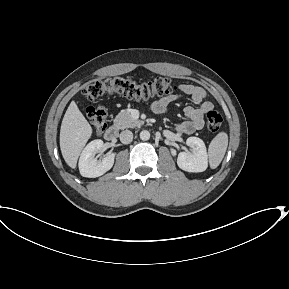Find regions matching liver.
<instances>
[{
	"label": "liver",
	"mask_w": 289,
	"mask_h": 289,
	"mask_svg": "<svg viewBox=\"0 0 289 289\" xmlns=\"http://www.w3.org/2000/svg\"><path fill=\"white\" fill-rule=\"evenodd\" d=\"M92 135V128L72 101L63 117L60 129V149L65 162L75 168L79 155Z\"/></svg>",
	"instance_id": "obj_1"
}]
</instances>
